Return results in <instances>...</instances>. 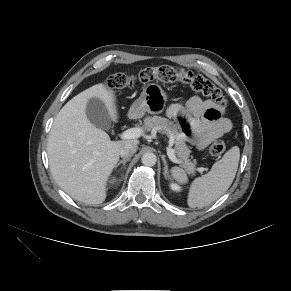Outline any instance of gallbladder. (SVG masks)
<instances>
[{
  "label": "gallbladder",
  "mask_w": 291,
  "mask_h": 291,
  "mask_svg": "<svg viewBox=\"0 0 291 291\" xmlns=\"http://www.w3.org/2000/svg\"><path fill=\"white\" fill-rule=\"evenodd\" d=\"M86 115L94 126L103 130L111 128V119L102 100L96 97L90 98L86 106Z\"/></svg>",
  "instance_id": "1"
}]
</instances>
